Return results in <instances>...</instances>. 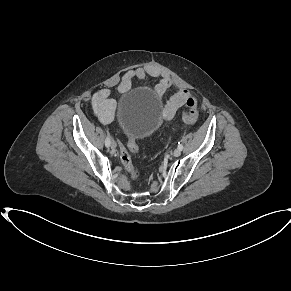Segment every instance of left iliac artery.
<instances>
[{"mask_svg":"<svg viewBox=\"0 0 291 291\" xmlns=\"http://www.w3.org/2000/svg\"><path fill=\"white\" fill-rule=\"evenodd\" d=\"M178 148H179L180 150L183 149V144H182L181 142L178 143Z\"/></svg>","mask_w":291,"mask_h":291,"instance_id":"obj_1","label":"left iliac artery"}]
</instances>
